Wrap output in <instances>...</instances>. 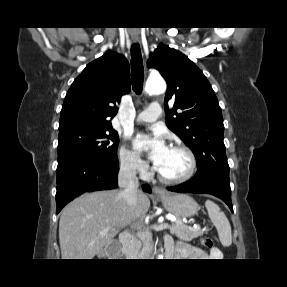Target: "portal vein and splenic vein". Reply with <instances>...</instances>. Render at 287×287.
<instances>
[{"instance_id":"1","label":"portal vein and splenic vein","mask_w":287,"mask_h":287,"mask_svg":"<svg viewBox=\"0 0 287 287\" xmlns=\"http://www.w3.org/2000/svg\"><path fill=\"white\" fill-rule=\"evenodd\" d=\"M167 219L170 220V221H172V222H175V221H176V219L173 218V217H171V216H170V217H167ZM183 222H185V221H183Z\"/></svg>"}]
</instances>
